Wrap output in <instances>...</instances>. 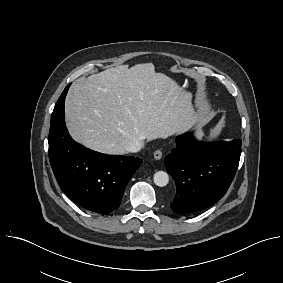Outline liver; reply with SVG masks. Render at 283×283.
<instances>
[{
	"instance_id": "obj_1",
	"label": "liver",
	"mask_w": 283,
	"mask_h": 283,
	"mask_svg": "<svg viewBox=\"0 0 283 283\" xmlns=\"http://www.w3.org/2000/svg\"><path fill=\"white\" fill-rule=\"evenodd\" d=\"M191 99L152 63L120 65L74 84L65 102L66 125L84 146L123 155L134 141L165 139L196 125Z\"/></svg>"
}]
</instances>
